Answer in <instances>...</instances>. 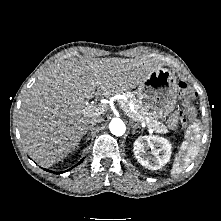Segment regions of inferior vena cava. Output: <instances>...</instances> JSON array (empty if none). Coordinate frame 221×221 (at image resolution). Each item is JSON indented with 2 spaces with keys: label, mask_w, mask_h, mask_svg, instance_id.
Instances as JSON below:
<instances>
[{
  "label": "inferior vena cava",
  "mask_w": 221,
  "mask_h": 221,
  "mask_svg": "<svg viewBox=\"0 0 221 221\" xmlns=\"http://www.w3.org/2000/svg\"><path fill=\"white\" fill-rule=\"evenodd\" d=\"M102 122V117L100 115H97L95 117H92L90 120H89V123L91 124H96V123H101Z\"/></svg>",
  "instance_id": "602c4592"
}]
</instances>
